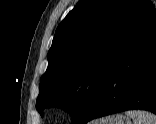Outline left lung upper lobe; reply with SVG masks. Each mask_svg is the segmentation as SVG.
<instances>
[{
	"instance_id": "5c2ea615",
	"label": "left lung upper lobe",
	"mask_w": 156,
	"mask_h": 124,
	"mask_svg": "<svg viewBox=\"0 0 156 124\" xmlns=\"http://www.w3.org/2000/svg\"><path fill=\"white\" fill-rule=\"evenodd\" d=\"M150 0H80L56 29L36 109L59 106L79 124L130 42L154 18Z\"/></svg>"
}]
</instances>
